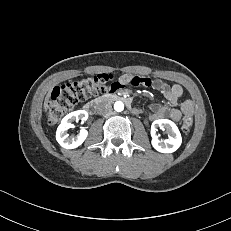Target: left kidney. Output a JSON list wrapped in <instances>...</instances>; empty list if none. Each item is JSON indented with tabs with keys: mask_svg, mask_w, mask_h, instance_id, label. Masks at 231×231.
I'll list each match as a JSON object with an SVG mask.
<instances>
[{
	"mask_svg": "<svg viewBox=\"0 0 231 231\" xmlns=\"http://www.w3.org/2000/svg\"><path fill=\"white\" fill-rule=\"evenodd\" d=\"M157 128L166 130L169 138L165 141H160L156 134ZM152 146L161 153L175 152L182 143V137L176 124L168 119L155 120L151 126Z\"/></svg>",
	"mask_w": 231,
	"mask_h": 231,
	"instance_id": "5707ae66",
	"label": "left kidney"
}]
</instances>
